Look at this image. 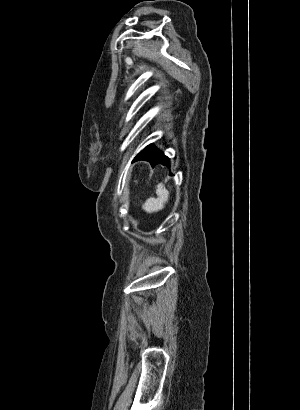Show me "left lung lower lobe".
<instances>
[{
  "mask_svg": "<svg viewBox=\"0 0 300 410\" xmlns=\"http://www.w3.org/2000/svg\"><path fill=\"white\" fill-rule=\"evenodd\" d=\"M146 160L149 161L154 167L155 165L161 163L166 166H170L169 158L166 157L161 151H159L153 144H150L141 151L133 161Z\"/></svg>",
  "mask_w": 300,
  "mask_h": 410,
  "instance_id": "1",
  "label": "left lung lower lobe"
}]
</instances>
